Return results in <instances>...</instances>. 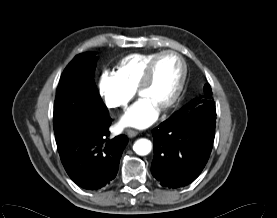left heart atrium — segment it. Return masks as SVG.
<instances>
[{"mask_svg":"<svg viewBox=\"0 0 277 218\" xmlns=\"http://www.w3.org/2000/svg\"><path fill=\"white\" fill-rule=\"evenodd\" d=\"M158 106L145 96H141L121 117L122 126L145 128L158 117Z\"/></svg>","mask_w":277,"mask_h":218,"instance_id":"obj_1","label":"left heart atrium"}]
</instances>
